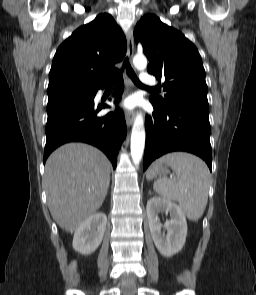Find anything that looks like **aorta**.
I'll use <instances>...</instances> for the list:
<instances>
[{
    "label": "aorta",
    "mask_w": 256,
    "mask_h": 295,
    "mask_svg": "<svg viewBox=\"0 0 256 295\" xmlns=\"http://www.w3.org/2000/svg\"><path fill=\"white\" fill-rule=\"evenodd\" d=\"M133 64L138 70L147 67V59L143 54H136ZM145 147V127L142 114H137L131 132V156L135 165H139Z\"/></svg>",
    "instance_id": "aorta-1"
}]
</instances>
